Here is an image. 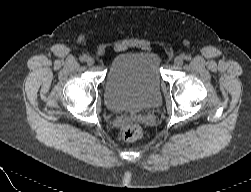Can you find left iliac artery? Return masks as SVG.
Segmentation results:
<instances>
[{
  "label": "left iliac artery",
  "mask_w": 251,
  "mask_h": 192,
  "mask_svg": "<svg viewBox=\"0 0 251 192\" xmlns=\"http://www.w3.org/2000/svg\"><path fill=\"white\" fill-rule=\"evenodd\" d=\"M184 59L188 61V60L191 59V56L190 55H186V56H184Z\"/></svg>",
  "instance_id": "1"
}]
</instances>
